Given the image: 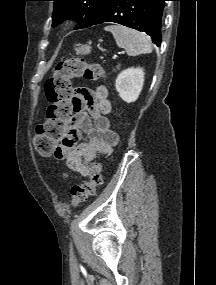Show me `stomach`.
I'll return each mask as SVG.
<instances>
[{
  "label": "stomach",
  "mask_w": 216,
  "mask_h": 285,
  "mask_svg": "<svg viewBox=\"0 0 216 285\" xmlns=\"http://www.w3.org/2000/svg\"><path fill=\"white\" fill-rule=\"evenodd\" d=\"M91 52V46L89 45H83L81 47H79L78 49H76V53L79 55H87Z\"/></svg>",
  "instance_id": "0dacf381"
}]
</instances>
